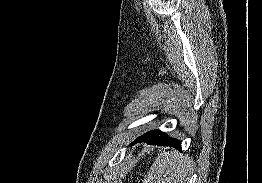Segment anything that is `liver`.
Instances as JSON below:
<instances>
[{"instance_id":"1","label":"liver","mask_w":262,"mask_h":183,"mask_svg":"<svg viewBox=\"0 0 262 183\" xmlns=\"http://www.w3.org/2000/svg\"><path fill=\"white\" fill-rule=\"evenodd\" d=\"M188 171V162L183 154L164 149L155 158L142 183H186Z\"/></svg>"}]
</instances>
